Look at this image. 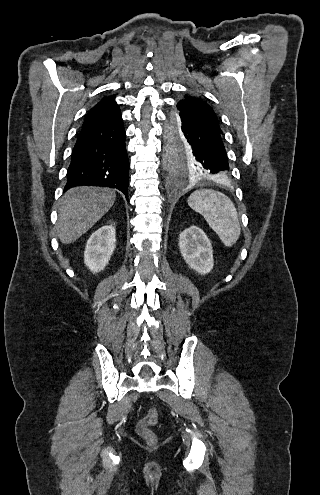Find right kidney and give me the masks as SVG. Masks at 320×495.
Listing matches in <instances>:
<instances>
[{
  "label": "right kidney",
  "mask_w": 320,
  "mask_h": 495,
  "mask_svg": "<svg viewBox=\"0 0 320 495\" xmlns=\"http://www.w3.org/2000/svg\"><path fill=\"white\" fill-rule=\"evenodd\" d=\"M115 243V227L112 224L99 228L90 236L84 252V262L91 272L104 270L113 254Z\"/></svg>",
  "instance_id": "obj_1"
}]
</instances>
